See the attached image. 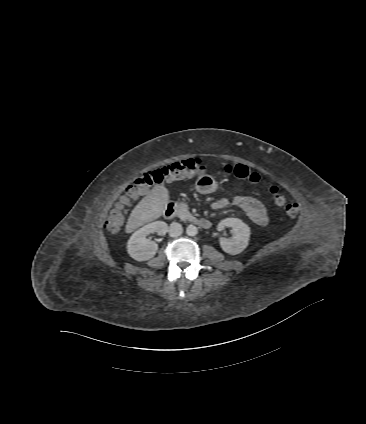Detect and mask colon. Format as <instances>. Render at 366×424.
<instances>
[{
	"label": "colon",
	"mask_w": 366,
	"mask_h": 424,
	"mask_svg": "<svg viewBox=\"0 0 366 424\" xmlns=\"http://www.w3.org/2000/svg\"><path fill=\"white\" fill-rule=\"evenodd\" d=\"M202 171V161L198 158H190L142 174L129 185L126 189L125 196L111 210L105 221L106 228L112 232L117 231L122 224L123 213L129 201L151 186L163 182L194 177L201 174ZM224 172L227 175L246 180L252 184H259L261 182V176L257 172L251 171L247 166L242 164H228L224 167ZM267 190L272 196L274 203L279 207H284L287 216L295 217L298 214V205L293 202L287 203L286 197L277 186L269 184L267 185Z\"/></svg>",
	"instance_id": "1"
}]
</instances>
